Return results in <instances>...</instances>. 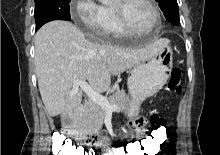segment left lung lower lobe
Wrapping results in <instances>:
<instances>
[{"label":"left lung lower lobe","mask_w":220,"mask_h":155,"mask_svg":"<svg viewBox=\"0 0 220 155\" xmlns=\"http://www.w3.org/2000/svg\"><path fill=\"white\" fill-rule=\"evenodd\" d=\"M180 22L179 18L173 19L172 21L169 22L170 25H178Z\"/></svg>","instance_id":"obj_1"}]
</instances>
